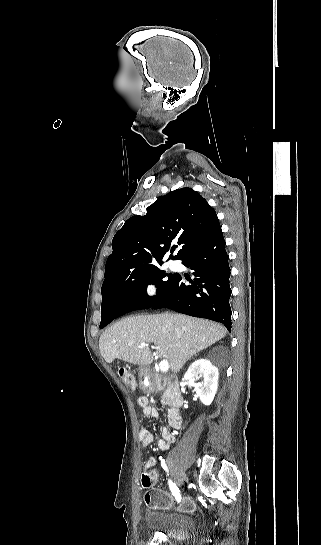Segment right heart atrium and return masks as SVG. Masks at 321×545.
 I'll return each mask as SVG.
<instances>
[{"label": "right heart atrium", "instance_id": "d8ad5b80", "mask_svg": "<svg viewBox=\"0 0 321 545\" xmlns=\"http://www.w3.org/2000/svg\"><path fill=\"white\" fill-rule=\"evenodd\" d=\"M137 297L147 303L156 301L160 297V288L152 279H143L136 286Z\"/></svg>", "mask_w": 321, "mask_h": 545}]
</instances>
